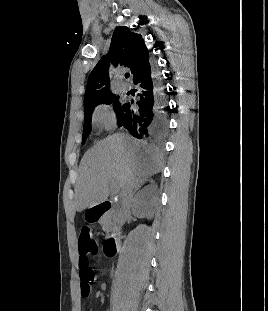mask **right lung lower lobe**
<instances>
[{
    "instance_id": "obj_1",
    "label": "right lung lower lobe",
    "mask_w": 268,
    "mask_h": 311,
    "mask_svg": "<svg viewBox=\"0 0 268 311\" xmlns=\"http://www.w3.org/2000/svg\"><path fill=\"white\" fill-rule=\"evenodd\" d=\"M133 82L138 86L135 106L129 102L123 104L117 124L144 142H160L168 131V106L162 85L155 76L154 65L149 63Z\"/></svg>"
}]
</instances>
